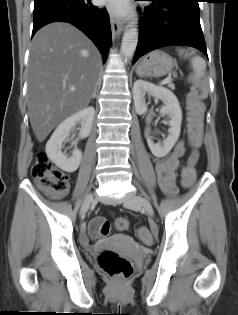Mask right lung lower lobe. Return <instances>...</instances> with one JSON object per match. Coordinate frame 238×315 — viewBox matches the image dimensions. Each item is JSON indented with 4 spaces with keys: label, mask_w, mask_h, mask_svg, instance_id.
<instances>
[{
    "label": "right lung lower lobe",
    "mask_w": 238,
    "mask_h": 315,
    "mask_svg": "<svg viewBox=\"0 0 238 315\" xmlns=\"http://www.w3.org/2000/svg\"><path fill=\"white\" fill-rule=\"evenodd\" d=\"M32 36L54 21L71 23L82 30L99 48L105 62L111 40L109 15L91 0H34Z\"/></svg>",
    "instance_id": "obj_1"
}]
</instances>
